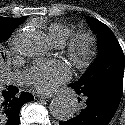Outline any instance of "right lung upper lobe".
<instances>
[{
	"label": "right lung upper lobe",
	"mask_w": 125,
	"mask_h": 125,
	"mask_svg": "<svg viewBox=\"0 0 125 125\" xmlns=\"http://www.w3.org/2000/svg\"><path fill=\"white\" fill-rule=\"evenodd\" d=\"M26 20V17L21 18H7V17H0V21H5L7 23L18 24V26ZM17 26V27H18Z\"/></svg>",
	"instance_id": "cb5924a9"
}]
</instances>
